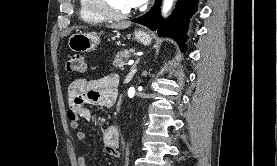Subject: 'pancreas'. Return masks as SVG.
<instances>
[{"instance_id":"pancreas-1","label":"pancreas","mask_w":277,"mask_h":166,"mask_svg":"<svg viewBox=\"0 0 277 166\" xmlns=\"http://www.w3.org/2000/svg\"><path fill=\"white\" fill-rule=\"evenodd\" d=\"M132 53H134L133 49L130 50H122L120 52H118L115 56V59L113 61V66L115 68L118 69H123L124 65H125V61L123 58L128 57L129 55H131Z\"/></svg>"}]
</instances>
